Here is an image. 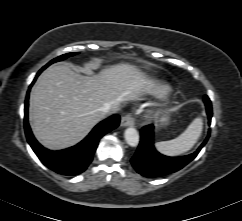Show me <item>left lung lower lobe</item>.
<instances>
[{"label": "left lung lower lobe", "instance_id": "1", "mask_svg": "<svg viewBox=\"0 0 242 221\" xmlns=\"http://www.w3.org/2000/svg\"><path fill=\"white\" fill-rule=\"evenodd\" d=\"M204 102L210 124L212 117L211 101L207 96H205ZM153 131L154 126L152 124L141 129L140 144L135 155L131 158V163L134 169L139 174L147 178L167 175L182 169L197 156L209 137L208 135L197 151L190 155L182 157H167L156 151L153 143Z\"/></svg>", "mask_w": 242, "mask_h": 221}]
</instances>
